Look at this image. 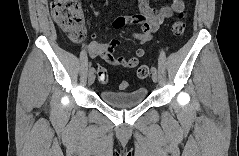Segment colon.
Listing matches in <instances>:
<instances>
[{
    "label": "colon",
    "instance_id": "colon-1",
    "mask_svg": "<svg viewBox=\"0 0 239 156\" xmlns=\"http://www.w3.org/2000/svg\"><path fill=\"white\" fill-rule=\"evenodd\" d=\"M54 20L58 24L61 31L66 35L69 42L74 44L81 43L86 36L84 28L83 10L81 4L77 0H54L51 5ZM183 12H179V18L174 22L172 31L175 36H181L185 30V23L182 20ZM98 79L102 83L108 81V72L105 67H98ZM150 74L147 65H141L137 69V76L140 79L148 77ZM128 83L121 81L119 88L126 89Z\"/></svg>",
    "mask_w": 239,
    "mask_h": 156
}]
</instances>
